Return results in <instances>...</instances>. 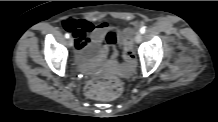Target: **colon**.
<instances>
[{
    "label": "colon",
    "instance_id": "obj_1",
    "mask_svg": "<svg viewBox=\"0 0 218 122\" xmlns=\"http://www.w3.org/2000/svg\"><path fill=\"white\" fill-rule=\"evenodd\" d=\"M120 34L115 28H106L102 32L101 50L86 64L78 65V72L84 77L92 76L93 71L99 69L100 65L108 58H114L118 54V41ZM133 47V26L128 27L124 40V59L131 65L136 63ZM124 84L116 77H107L104 80H91L85 87L87 96L101 100H112L122 94Z\"/></svg>",
    "mask_w": 218,
    "mask_h": 122
}]
</instances>
